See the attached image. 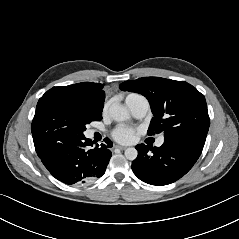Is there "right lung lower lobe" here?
I'll return each mask as SVG.
<instances>
[{
    "label": "right lung lower lobe",
    "instance_id": "obj_1",
    "mask_svg": "<svg viewBox=\"0 0 239 239\" xmlns=\"http://www.w3.org/2000/svg\"><path fill=\"white\" fill-rule=\"evenodd\" d=\"M94 146L84 135L65 136L36 151L47 170L65 184H83L101 177L111 158L112 142Z\"/></svg>",
    "mask_w": 239,
    "mask_h": 239
}]
</instances>
